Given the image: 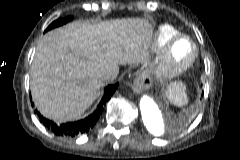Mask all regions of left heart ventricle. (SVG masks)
<instances>
[{
  "label": "left heart ventricle",
  "instance_id": "obj_1",
  "mask_svg": "<svg viewBox=\"0 0 240 160\" xmlns=\"http://www.w3.org/2000/svg\"><path fill=\"white\" fill-rule=\"evenodd\" d=\"M190 52L191 46L187 41L182 40L176 43L174 48V55L177 59H185L190 54Z\"/></svg>",
  "mask_w": 240,
  "mask_h": 160
}]
</instances>
